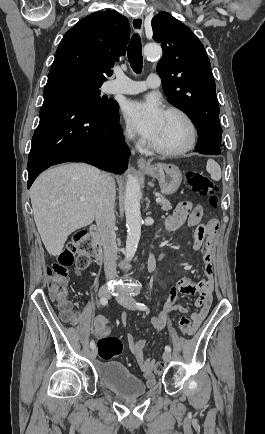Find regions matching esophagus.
<instances>
[{
  "mask_svg": "<svg viewBox=\"0 0 265 434\" xmlns=\"http://www.w3.org/2000/svg\"><path fill=\"white\" fill-rule=\"evenodd\" d=\"M131 24H132V28L135 32H137L140 35H143V17H142V15H138V16L134 17L132 19ZM137 165H138V167H143V168L150 167V164L143 157L138 158Z\"/></svg>",
  "mask_w": 265,
  "mask_h": 434,
  "instance_id": "esophagus-1",
  "label": "esophagus"
}]
</instances>
